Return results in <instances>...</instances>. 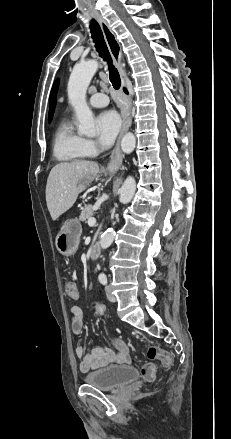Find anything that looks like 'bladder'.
Listing matches in <instances>:
<instances>
[{"instance_id": "31cf9c89", "label": "bladder", "mask_w": 231, "mask_h": 439, "mask_svg": "<svg viewBox=\"0 0 231 439\" xmlns=\"http://www.w3.org/2000/svg\"><path fill=\"white\" fill-rule=\"evenodd\" d=\"M138 377V371L133 366H109L85 375L84 382L102 390H118L133 382Z\"/></svg>"}]
</instances>
